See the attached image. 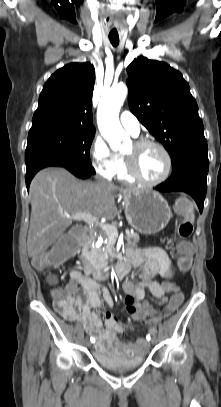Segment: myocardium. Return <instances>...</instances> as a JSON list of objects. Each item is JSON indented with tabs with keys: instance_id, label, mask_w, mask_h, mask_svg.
<instances>
[{
	"instance_id": "myocardium-1",
	"label": "myocardium",
	"mask_w": 221,
	"mask_h": 407,
	"mask_svg": "<svg viewBox=\"0 0 221 407\" xmlns=\"http://www.w3.org/2000/svg\"><path fill=\"white\" fill-rule=\"evenodd\" d=\"M133 144L136 147V149H138V150L145 149L148 147L158 148L164 154V156L166 158L167 168H166L165 174L160 179L149 180L140 174V172L137 168V165H136L135 158L133 156L124 154L126 170H127V173L129 174V176L132 179H134L142 184L149 185V186H157V185H160V184L166 182L169 179V177L171 176L172 170H173V159H172V156H171L170 152L168 151V149L163 144H161L155 140L146 139V138L137 139L133 142Z\"/></svg>"
}]
</instances>
